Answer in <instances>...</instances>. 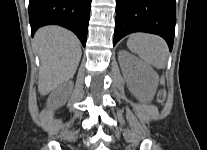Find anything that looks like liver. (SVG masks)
I'll list each match as a JSON object with an SVG mask.
<instances>
[{
  "label": "liver",
  "instance_id": "obj_1",
  "mask_svg": "<svg viewBox=\"0 0 207 150\" xmlns=\"http://www.w3.org/2000/svg\"><path fill=\"white\" fill-rule=\"evenodd\" d=\"M34 45L40 58L38 91L47 95L74 76L82 54L80 42L64 28L45 26L36 32Z\"/></svg>",
  "mask_w": 207,
  "mask_h": 150
}]
</instances>
